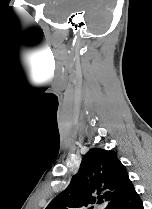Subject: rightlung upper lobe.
<instances>
[{
	"mask_svg": "<svg viewBox=\"0 0 152 209\" xmlns=\"http://www.w3.org/2000/svg\"><path fill=\"white\" fill-rule=\"evenodd\" d=\"M132 186L116 152L93 148L82 158L79 172L72 177L68 187L46 209H82L94 204L95 195L100 193L107 202L105 209H110Z\"/></svg>",
	"mask_w": 152,
	"mask_h": 209,
	"instance_id": "right-lung-upper-lobe-1",
	"label": "right lung upper lobe"
}]
</instances>
